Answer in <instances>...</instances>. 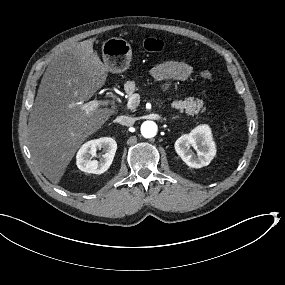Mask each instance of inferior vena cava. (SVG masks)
Here are the masks:
<instances>
[{
	"label": "inferior vena cava",
	"mask_w": 285,
	"mask_h": 285,
	"mask_svg": "<svg viewBox=\"0 0 285 285\" xmlns=\"http://www.w3.org/2000/svg\"><path fill=\"white\" fill-rule=\"evenodd\" d=\"M119 120H120V124L125 125V126H132L135 123V118L128 117V116H121Z\"/></svg>",
	"instance_id": "602c4592"
}]
</instances>
